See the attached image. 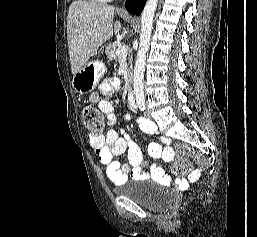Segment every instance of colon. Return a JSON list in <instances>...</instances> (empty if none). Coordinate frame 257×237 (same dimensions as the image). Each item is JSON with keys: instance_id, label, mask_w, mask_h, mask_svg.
I'll return each instance as SVG.
<instances>
[{"instance_id": "colon-1", "label": "colon", "mask_w": 257, "mask_h": 237, "mask_svg": "<svg viewBox=\"0 0 257 237\" xmlns=\"http://www.w3.org/2000/svg\"><path fill=\"white\" fill-rule=\"evenodd\" d=\"M82 120L92 135L101 136L105 129V121L98 110L91 106L85 107L82 112ZM176 150L181 156H189L194 161L201 162V156L189 144H179ZM190 168L191 164L183 159L176 160L172 164V171L178 175L187 173Z\"/></svg>"}]
</instances>
